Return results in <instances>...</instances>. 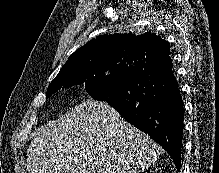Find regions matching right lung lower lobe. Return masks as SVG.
<instances>
[{
    "instance_id": "1",
    "label": "right lung lower lobe",
    "mask_w": 219,
    "mask_h": 173,
    "mask_svg": "<svg viewBox=\"0 0 219 173\" xmlns=\"http://www.w3.org/2000/svg\"><path fill=\"white\" fill-rule=\"evenodd\" d=\"M105 101L158 142L180 170L184 111L171 59L139 64L123 76Z\"/></svg>"
}]
</instances>
